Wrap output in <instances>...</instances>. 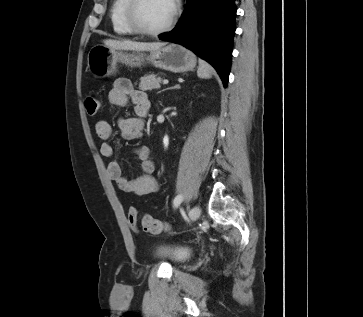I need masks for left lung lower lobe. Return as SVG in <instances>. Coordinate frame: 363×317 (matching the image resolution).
Here are the masks:
<instances>
[{
  "mask_svg": "<svg viewBox=\"0 0 363 317\" xmlns=\"http://www.w3.org/2000/svg\"><path fill=\"white\" fill-rule=\"evenodd\" d=\"M235 0H188L177 26L159 35L192 50L217 70L227 86L235 32Z\"/></svg>",
  "mask_w": 363,
  "mask_h": 317,
  "instance_id": "1",
  "label": "left lung lower lobe"
}]
</instances>
